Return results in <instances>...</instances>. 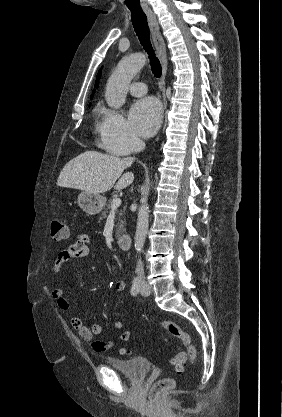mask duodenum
I'll return each instance as SVG.
<instances>
[{"label": "duodenum", "instance_id": "obj_1", "mask_svg": "<svg viewBox=\"0 0 282 417\" xmlns=\"http://www.w3.org/2000/svg\"><path fill=\"white\" fill-rule=\"evenodd\" d=\"M130 241L131 237L128 234H123L117 237V244L122 250L129 249Z\"/></svg>", "mask_w": 282, "mask_h": 417}]
</instances>
